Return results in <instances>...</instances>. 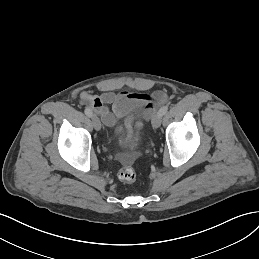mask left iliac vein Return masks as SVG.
I'll return each mask as SVG.
<instances>
[{"label": "left iliac vein", "mask_w": 259, "mask_h": 259, "mask_svg": "<svg viewBox=\"0 0 259 259\" xmlns=\"http://www.w3.org/2000/svg\"><path fill=\"white\" fill-rule=\"evenodd\" d=\"M161 119H162V115H160L159 112H157L152 119V126L154 128H158L161 125Z\"/></svg>", "instance_id": "1"}]
</instances>
